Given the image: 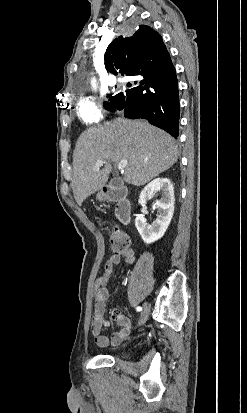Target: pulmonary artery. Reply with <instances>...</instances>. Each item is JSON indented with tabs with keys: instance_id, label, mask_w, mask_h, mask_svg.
Listing matches in <instances>:
<instances>
[{
	"instance_id": "1",
	"label": "pulmonary artery",
	"mask_w": 247,
	"mask_h": 413,
	"mask_svg": "<svg viewBox=\"0 0 247 413\" xmlns=\"http://www.w3.org/2000/svg\"><path fill=\"white\" fill-rule=\"evenodd\" d=\"M124 82H125V79L121 76L111 75L109 78L110 86L117 87L118 89L122 88Z\"/></svg>"
}]
</instances>
